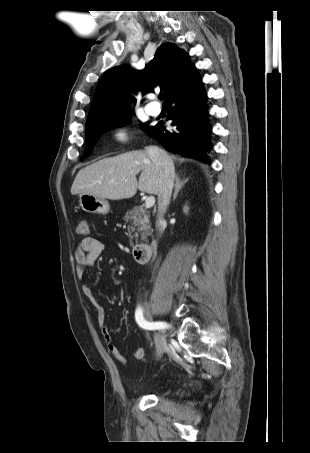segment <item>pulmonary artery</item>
Masks as SVG:
<instances>
[{
  "mask_svg": "<svg viewBox=\"0 0 310 453\" xmlns=\"http://www.w3.org/2000/svg\"><path fill=\"white\" fill-rule=\"evenodd\" d=\"M146 111L152 116H157L160 113V108L159 107H155V106H153L151 104H148L146 106Z\"/></svg>",
  "mask_w": 310,
  "mask_h": 453,
  "instance_id": "e3ab8cb5",
  "label": "pulmonary artery"
}]
</instances>
